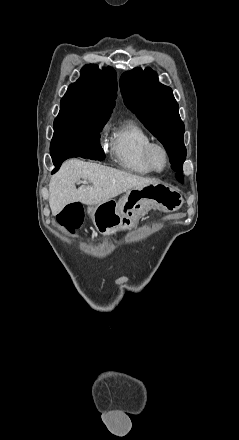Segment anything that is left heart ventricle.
<instances>
[{"mask_svg":"<svg viewBox=\"0 0 239 440\" xmlns=\"http://www.w3.org/2000/svg\"><path fill=\"white\" fill-rule=\"evenodd\" d=\"M155 163L159 169H163L165 166V160L162 152L157 151L155 154Z\"/></svg>","mask_w":239,"mask_h":440,"instance_id":"1","label":"left heart ventricle"}]
</instances>
